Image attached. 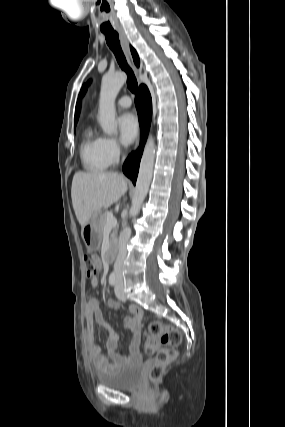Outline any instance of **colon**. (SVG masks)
Listing matches in <instances>:
<instances>
[{
  "mask_svg": "<svg viewBox=\"0 0 285 427\" xmlns=\"http://www.w3.org/2000/svg\"><path fill=\"white\" fill-rule=\"evenodd\" d=\"M83 263L86 278L95 277L97 263L88 256L84 257ZM181 340L180 332L162 321H152L148 324V337L144 347L148 354H155V364L149 372L152 381L159 379L165 367L174 359ZM160 345L162 347H159Z\"/></svg>",
  "mask_w": 285,
  "mask_h": 427,
  "instance_id": "5ec220e1",
  "label": "colon"
}]
</instances>
